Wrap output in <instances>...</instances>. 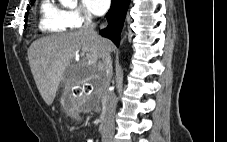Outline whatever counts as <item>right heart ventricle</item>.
I'll return each mask as SVG.
<instances>
[{
  "instance_id": "right-heart-ventricle-1",
  "label": "right heart ventricle",
  "mask_w": 227,
  "mask_h": 142,
  "mask_svg": "<svg viewBox=\"0 0 227 142\" xmlns=\"http://www.w3.org/2000/svg\"><path fill=\"white\" fill-rule=\"evenodd\" d=\"M38 28L49 34L66 32L71 28L66 10L53 0H42L39 5Z\"/></svg>"
}]
</instances>
